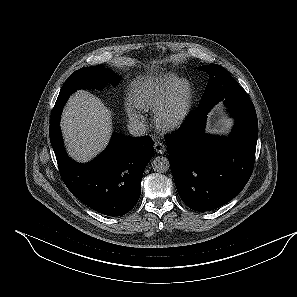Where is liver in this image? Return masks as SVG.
Returning <instances> with one entry per match:
<instances>
[{
    "instance_id": "6515ba94",
    "label": "liver",
    "mask_w": 297,
    "mask_h": 297,
    "mask_svg": "<svg viewBox=\"0 0 297 297\" xmlns=\"http://www.w3.org/2000/svg\"><path fill=\"white\" fill-rule=\"evenodd\" d=\"M61 129L70 157L87 162L109 142L111 112L99 98L80 90L68 100L61 118Z\"/></svg>"
}]
</instances>
